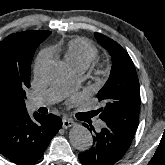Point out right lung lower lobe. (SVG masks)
Wrapping results in <instances>:
<instances>
[{
    "instance_id": "obj_1",
    "label": "right lung lower lobe",
    "mask_w": 165,
    "mask_h": 165,
    "mask_svg": "<svg viewBox=\"0 0 165 165\" xmlns=\"http://www.w3.org/2000/svg\"><path fill=\"white\" fill-rule=\"evenodd\" d=\"M61 126L53 114H23L0 127V153L18 165H34Z\"/></svg>"
}]
</instances>
